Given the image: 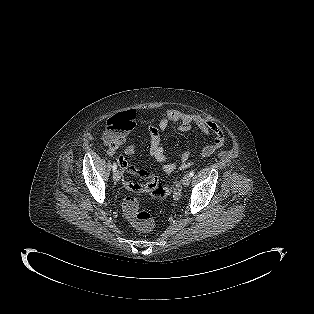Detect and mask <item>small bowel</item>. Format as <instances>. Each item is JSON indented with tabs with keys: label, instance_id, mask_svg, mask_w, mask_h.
<instances>
[{
	"label": "small bowel",
	"instance_id": "1",
	"mask_svg": "<svg viewBox=\"0 0 314 314\" xmlns=\"http://www.w3.org/2000/svg\"><path fill=\"white\" fill-rule=\"evenodd\" d=\"M171 124H177L176 131L189 132L193 126H196L206 136H212L211 141L206 144L202 151L201 156L204 158L212 156L221 146L225 143V132L223 128L216 122L209 120L199 114L180 112L178 110H168L160 120L148 127V139L150 143V153L156 160L162 162V170L166 173H171L177 168V163L168 161L163 140L168 138L166 135L163 139L160 132H164ZM125 136L113 143L108 144L107 154L113 156L119 146L125 141ZM135 143H130L126 146L124 153L126 156H131L135 153ZM189 152L184 151L180 157V168H187L190 165ZM117 162L120 168L128 173L135 174L136 169L130 165L124 155H119Z\"/></svg>",
	"mask_w": 314,
	"mask_h": 314
}]
</instances>
